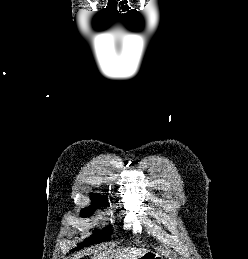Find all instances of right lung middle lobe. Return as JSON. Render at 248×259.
I'll return each instance as SVG.
<instances>
[{"mask_svg": "<svg viewBox=\"0 0 248 259\" xmlns=\"http://www.w3.org/2000/svg\"><path fill=\"white\" fill-rule=\"evenodd\" d=\"M92 202L94 203L93 207L92 208H85V209H83L81 211V216L88 217V216H90L93 213V209L95 207H99V206L104 207V206H106V203H105L103 197L99 198V199H96V200H92ZM110 235H111V231L108 230V229H105L103 231H97L95 233V235L87 238L82 244L77 246L71 252L77 251V250L81 249L84 246H88V245H91V244H94V243H101V242H104V241H109L111 239Z\"/></svg>", "mask_w": 248, "mask_h": 259, "instance_id": "obj_1", "label": "right lung middle lobe"}]
</instances>
